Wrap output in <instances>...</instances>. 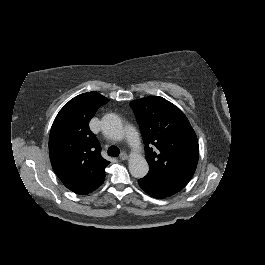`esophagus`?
Returning a JSON list of instances; mask_svg holds the SVG:
<instances>
[{
  "label": "esophagus",
  "mask_w": 265,
  "mask_h": 265,
  "mask_svg": "<svg viewBox=\"0 0 265 265\" xmlns=\"http://www.w3.org/2000/svg\"><path fill=\"white\" fill-rule=\"evenodd\" d=\"M121 160H126L128 158L127 154L125 152H122L119 156Z\"/></svg>",
  "instance_id": "esophagus-1"
}]
</instances>
